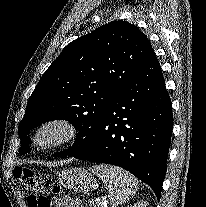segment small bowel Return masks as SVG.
<instances>
[{
  "label": "small bowel",
  "instance_id": "obj_1",
  "mask_svg": "<svg viewBox=\"0 0 206 207\" xmlns=\"http://www.w3.org/2000/svg\"><path fill=\"white\" fill-rule=\"evenodd\" d=\"M53 207H82L78 201L65 198H54Z\"/></svg>",
  "mask_w": 206,
  "mask_h": 207
}]
</instances>
